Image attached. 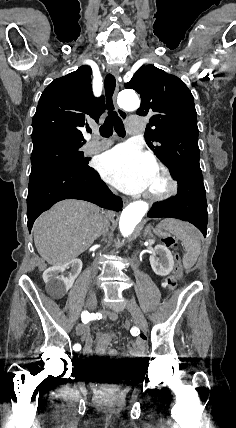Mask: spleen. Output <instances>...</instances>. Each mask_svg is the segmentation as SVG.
<instances>
[{
	"label": "spleen",
	"mask_w": 236,
	"mask_h": 428,
	"mask_svg": "<svg viewBox=\"0 0 236 428\" xmlns=\"http://www.w3.org/2000/svg\"><path fill=\"white\" fill-rule=\"evenodd\" d=\"M161 230H166L170 234H174L178 240H181L182 246H185L187 254L183 256L184 266H194L201 250V242L198 230L186 224V222H180V220H174V218H166L160 224Z\"/></svg>",
	"instance_id": "obj_1"
}]
</instances>
